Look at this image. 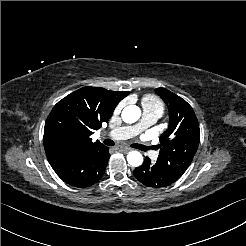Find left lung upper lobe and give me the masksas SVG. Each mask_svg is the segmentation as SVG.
I'll use <instances>...</instances> for the list:
<instances>
[{
    "label": "left lung upper lobe",
    "instance_id": "1",
    "mask_svg": "<svg viewBox=\"0 0 246 246\" xmlns=\"http://www.w3.org/2000/svg\"><path fill=\"white\" fill-rule=\"evenodd\" d=\"M155 92L169 109V128L160 136L157 162L180 178L189 167L199 145L200 130L192 107L165 88Z\"/></svg>",
    "mask_w": 246,
    "mask_h": 246
}]
</instances>
